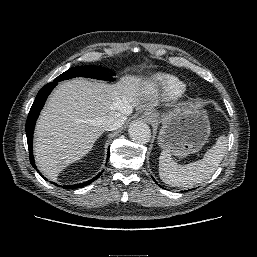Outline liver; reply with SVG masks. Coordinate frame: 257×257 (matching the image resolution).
I'll return each instance as SVG.
<instances>
[{
  "label": "liver",
  "mask_w": 257,
  "mask_h": 257,
  "mask_svg": "<svg viewBox=\"0 0 257 257\" xmlns=\"http://www.w3.org/2000/svg\"><path fill=\"white\" fill-rule=\"evenodd\" d=\"M150 95L140 77L126 75L115 84L75 78L58 86L36 125L35 160L50 179L81 159L102 135L101 118L124 107H139Z\"/></svg>",
  "instance_id": "liver-1"
}]
</instances>
